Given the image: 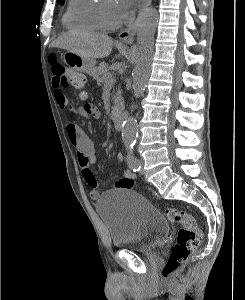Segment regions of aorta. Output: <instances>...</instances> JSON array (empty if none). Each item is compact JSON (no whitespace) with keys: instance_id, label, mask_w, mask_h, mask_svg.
<instances>
[{"instance_id":"obj_1","label":"aorta","mask_w":245,"mask_h":300,"mask_svg":"<svg viewBox=\"0 0 245 300\" xmlns=\"http://www.w3.org/2000/svg\"><path fill=\"white\" fill-rule=\"evenodd\" d=\"M157 23L158 12L153 7L145 9L139 17L135 68L133 70V94L135 98H139L143 94L151 72ZM137 133V120L131 115L125 119L122 128V139L126 148L134 145Z\"/></svg>"}]
</instances>
